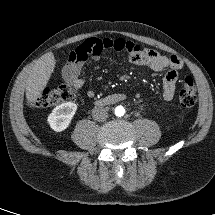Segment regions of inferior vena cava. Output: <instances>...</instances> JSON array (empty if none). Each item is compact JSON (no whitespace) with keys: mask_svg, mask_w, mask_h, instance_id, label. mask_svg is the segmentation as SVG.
Returning <instances> with one entry per match:
<instances>
[{"mask_svg":"<svg viewBox=\"0 0 215 215\" xmlns=\"http://www.w3.org/2000/svg\"><path fill=\"white\" fill-rule=\"evenodd\" d=\"M92 117L95 121L104 122L108 117L107 110L103 107H95L92 109Z\"/></svg>","mask_w":215,"mask_h":215,"instance_id":"obj_1","label":"inferior vena cava"}]
</instances>
